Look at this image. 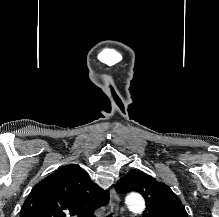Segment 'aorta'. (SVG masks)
<instances>
[{
  "label": "aorta",
  "instance_id": "aorta-1",
  "mask_svg": "<svg viewBox=\"0 0 219 217\" xmlns=\"http://www.w3.org/2000/svg\"><path fill=\"white\" fill-rule=\"evenodd\" d=\"M126 204L131 211L141 212L145 209V201L141 195L128 196Z\"/></svg>",
  "mask_w": 219,
  "mask_h": 217
}]
</instances>
